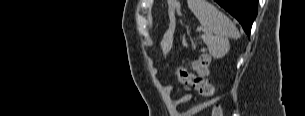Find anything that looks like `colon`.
I'll return each mask as SVG.
<instances>
[{
	"label": "colon",
	"instance_id": "obj_1",
	"mask_svg": "<svg viewBox=\"0 0 305 116\" xmlns=\"http://www.w3.org/2000/svg\"><path fill=\"white\" fill-rule=\"evenodd\" d=\"M169 6L173 12L182 15L179 1L169 0ZM210 63V55L202 53L191 66L180 65L176 68L175 73L181 83L194 87L207 98H212L215 94V89L208 80ZM211 116H223L222 108L218 103L213 104Z\"/></svg>",
	"mask_w": 305,
	"mask_h": 116
}]
</instances>
